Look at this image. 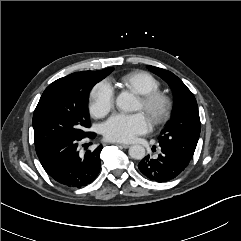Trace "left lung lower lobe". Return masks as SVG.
I'll use <instances>...</instances> for the list:
<instances>
[{
	"mask_svg": "<svg viewBox=\"0 0 241 241\" xmlns=\"http://www.w3.org/2000/svg\"><path fill=\"white\" fill-rule=\"evenodd\" d=\"M188 163L176 153L166 147L160 146V154L157 157L147 155L138 164L139 170L147 178L156 182H166L179 176Z\"/></svg>",
	"mask_w": 241,
	"mask_h": 241,
	"instance_id": "obj_1",
	"label": "left lung lower lobe"
}]
</instances>
